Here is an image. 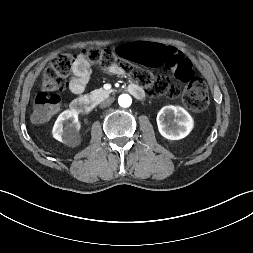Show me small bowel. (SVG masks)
Instances as JSON below:
<instances>
[{
  "instance_id": "obj_1",
  "label": "small bowel",
  "mask_w": 253,
  "mask_h": 253,
  "mask_svg": "<svg viewBox=\"0 0 253 253\" xmlns=\"http://www.w3.org/2000/svg\"><path fill=\"white\" fill-rule=\"evenodd\" d=\"M174 48V47H170ZM110 73L122 75L123 71L118 66L109 68ZM90 79V63L82 56H78L72 68V76L69 81V89L75 95H82Z\"/></svg>"
}]
</instances>
